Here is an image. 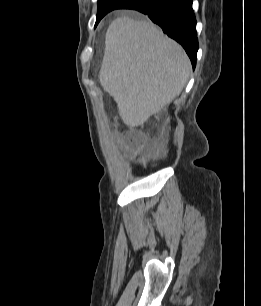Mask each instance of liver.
Masks as SVG:
<instances>
[{
  "label": "liver",
  "mask_w": 261,
  "mask_h": 306,
  "mask_svg": "<svg viewBox=\"0 0 261 306\" xmlns=\"http://www.w3.org/2000/svg\"><path fill=\"white\" fill-rule=\"evenodd\" d=\"M191 63L182 47L149 21L119 17L105 37L100 84L133 128L171 103L185 87Z\"/></svg>",
  "instance_id": "6515ba94"
}]
</instances>
